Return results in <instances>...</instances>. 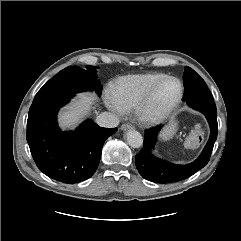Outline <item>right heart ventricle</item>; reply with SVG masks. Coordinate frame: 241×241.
<instances>
[{"label":"right heart ventricle","instance_id":"obj_1","mask_svg":"<svg viewBox=\"0 0 241 241\" xmlns=\"http://www.w3.org/2000/svg\"><path fill=\"white\" fill-rule=\"evenodd\" d=\"M166 75L163 73H142L121 77L113 82L111 93L124 108L134 109L150 88Z\"/></svg>","mask_w":241,"mask_h":241}]
</instances>
